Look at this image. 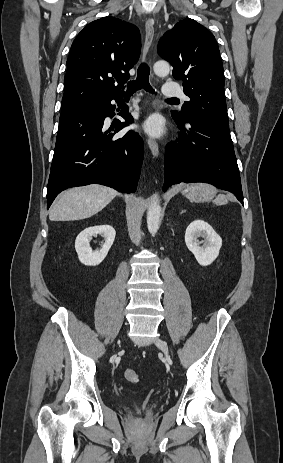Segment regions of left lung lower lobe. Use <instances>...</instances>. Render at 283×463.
Here are the masks:
<instances>
[{
  "mask_svg": "<svg viewBox=\"0 0 283 463\" xmlns=\"http://www.w3.org/2000/svg\"><path fill=\"white\" fill-rule=\"evenodd\" d=\"M172 116L182 131L179 144L166 147L163 190L180 182H206L234 193L243 204L229 128L207 120L181 121Z\"/></svg>",
  "mask_w": 283,
  "mask_h": 463,
  "instance_id": "obj_1",
  "label": "left lung lower lobe"
}]
</instances>
